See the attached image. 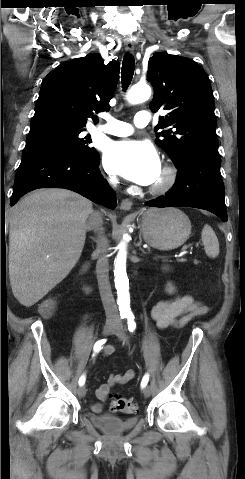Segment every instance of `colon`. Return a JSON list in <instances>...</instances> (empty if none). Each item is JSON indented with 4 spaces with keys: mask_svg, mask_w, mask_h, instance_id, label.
Returning <instances> with one entry per match:
<instances>
[{
    "mask_svg": "<svg viewBox=\"0 0 245 479\" xmlns=\"http://www.w3.org/2000/svg\"><path fill=\"white\" fill-rule=\"evenodd\" d=\"M55 309L56 303L53 299L45 300L40 307V311L45 317H50L54 313ZM111 397L112 405L115 410L126 414L136 411L137 406L132 400L122 397L118 393H113Z\"/></svg>",
    "mask_w": 245,
    "mask_h": 479,
    "instance_id": "colon-1",
    "label": "colon"
}]
</instances>
